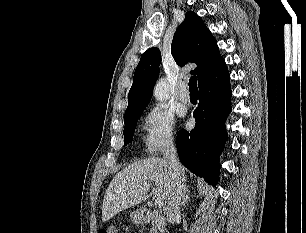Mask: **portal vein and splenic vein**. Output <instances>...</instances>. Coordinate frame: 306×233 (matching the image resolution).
Instances as JSON below:
<instances>
[{
    "label": "portal vein and splenic vein",
    "mask_w": 306,
    "mask_h": 233,
    "mask_svg": "<svg viewBox=\"0 0 306 233\" xmlns=\"http://www.w3.org/2000/svg\"><path fill=\"white\" fill-rule=\"evenodd\" d=\"M154 203H155V206L162 207L164 205V200L161 198H156Z\"/></svg>",
    "instance_id": "obj_1"
}]
</instances>
